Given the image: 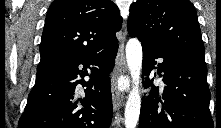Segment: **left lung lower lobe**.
Segmentation results:
<instances>
[{
	"mask_svg": "<svg viewBox=\"0 0 221 128\" xmlns=\"http://www.w3.org/2000/svg\"><path fill=\"white\" fill-rule=\"evenodd\" d=\"M145 87L151 93L142 100L139 128H213L209 111L210 91L206 64L190 59L167 47L142 44ZM166 84L159 89L149 79L155 68Z\"/></svg>",
	"mask_w": 221,
	"mask_h": 128,
	"instance_id": "left-lung-lower-lobe-1",
	"label": "left lung lower lobe"
}]
</instances>
